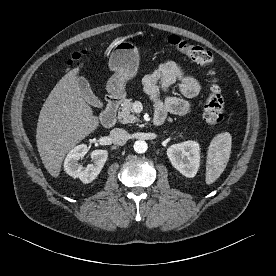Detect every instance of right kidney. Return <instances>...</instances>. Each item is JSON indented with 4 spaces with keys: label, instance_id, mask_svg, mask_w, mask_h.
I'll return each instance as SVG.
<instances>
[{
    "label": "right kidney",
    "instance_id": "right-kidney-1",
    "mask_svg": "<svg viewBox=\"0 0 276 276\" xmlns=\"http://www.w3.org/2000/svg\"><path fill=\"white\" fill-rule=\"evenodd\" d=\"M87 152L88 148L85 144L78 145L67 154L64 161L66 173L74 178H79L85 184L91 183L97 178L108 157V151L95 150L91 153L93 164L84 167L79 160H82Z\"/></svg>",
    "mask_w": 276,
    "mask_h": 276
}]
</instances>
